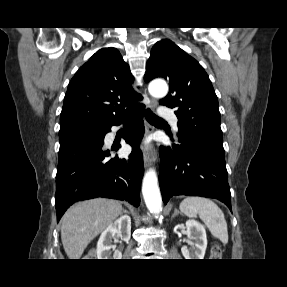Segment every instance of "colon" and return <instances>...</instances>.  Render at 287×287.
I'll return each mask as SVG.
<instances>
[{
	"label": "colon",
	"mask_w": 287,
	"mask_h": 287,
	"mask_svg": "<svg viewBox=\"0 0 287 287\" xmlns=\"http://www.w3.org/2000/svg\"><path fill=\"white\" fill-rule=\"evenodd\" d=\"M222 255V250L220 248V246L218 245H213L211 248V257L213 259H219Z\"/></svg>",
	"instance_id": "5ec220e1"
}]
</instances>
